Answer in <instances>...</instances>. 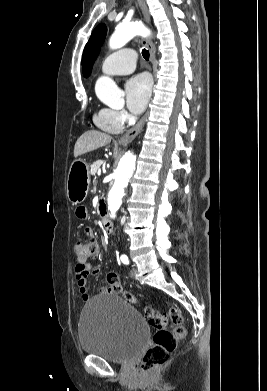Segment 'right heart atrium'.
<instances>
[{"instance_id":"1","label":"right heart atrium","mask_w":267,"mask_h":391,"mask_svg":"<svg viewBox=\"0 0 267 391\" xmlns=\"http://www.w3.org/2000/svg\"><path fill=\"white\" fill-rule=\"evenodd\" d=\"M109 112L111 119L120 126L124 125L129 119V115L125 110L109 109Z\"/></svg>"}]
</instances>
